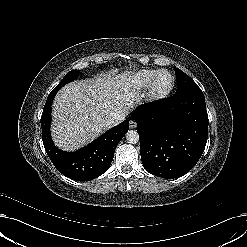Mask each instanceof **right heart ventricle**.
Here are the masks:
<instances>
[{
	"label": "right heart ventricle",
	"mask_w": 247,
	"mask_h": 247,
	"mask_svg": "<svg viewBox=\"0 0 247 247\" xmlns=\"http://www.w3.org/2000/svg\"><path fill=\"white\" fill-rule=\"evenodd\" d=\"M158 70L154 69H143L136 72L131 77V84L137 90H144L148 87L151 80L153 79L154 75L157 73Z\"/></svg>",
	"instance_id": "e07e8e85"
}]
</instances>
